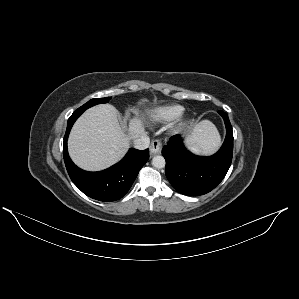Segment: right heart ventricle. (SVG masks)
<instances>
[{"instance_id":"1","label":"right heart ventricle","mask_w":299,"mask_h":299,"mask_svg":"<svg viewBox=\"0 0 299 299\" xmlns=\"http://www.w3.org/2000/svg\"><path fill=\"white\" fill-rule=\"evenodd\" d=\"M184 111L182 105L179 104H166L154 108L149 117L151 121L156 123L171 122L179 118Z\"/></svg>"}]
</instances>
